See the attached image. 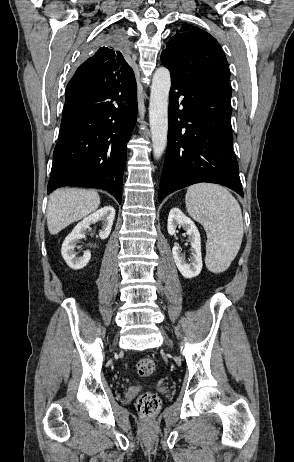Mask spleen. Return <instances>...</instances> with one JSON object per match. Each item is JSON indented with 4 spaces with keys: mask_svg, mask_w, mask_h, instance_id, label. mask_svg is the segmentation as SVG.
Returning <instances> with one entry per match:
<instances>
[{
    "mask_svg": "<svg viewBox=\"0 0 294 462\" xmlns=\"http://www.w3.org/2000/svg\"><path fill=\"white\" fill-rule=\"evenodd\" d=\"M189 215L207 234V268L225 271L236 257L243 238V219L238 201L224 187L200 183L188 188L185 197Z\"/></svg>",
    "mask_w": 294,
    "mask_h": 462,
    "instance_id": "spleen-1",
    "label": "spleen"
}]
</instances>
